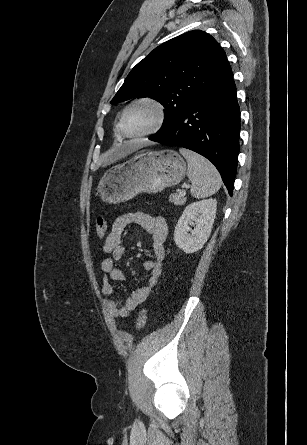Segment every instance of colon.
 Instances as JSON below:
<instances>
[{"mask_svg": "<svg viewBox=\"0 0 307 445\" xmlns=\"http://www.w3.org/2000/svg\"><path fill=\"white\" fill-rule=\"evenodd\" d=\"M108 222L107 219L104 216H100L96 220V235L99 239L104 238L106 232H107ZM147 321V310L142 309L139 312L137 321H136V329L142 330L146 324Z\"/></svg>", "mask_w": 307, "mask_h": 445, "instance_id": "1", "label": "colon"}]
</instances>
